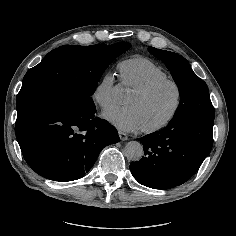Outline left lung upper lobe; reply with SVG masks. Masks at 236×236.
<instances>
[{"label":"left lung upper lobe","instance_id":"5c2ea615","mask_svg":"<svg viewBox=\"0 0 236 236\" xmlns=\"http://www.w3.org/2000/svg\"><path fill=\"white\" fill-rule=\"evenodd\" d=\"M148 50L165 63L179 87L180 104L170 122H178L187 118L214 120V107L210 100L208 87L193 72L189 62L177 53L154 47H149Z\"/></svg>","mask_w":236,"mask_h":236}]
</instances>
